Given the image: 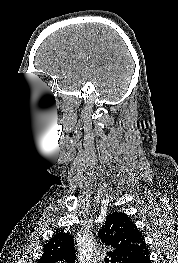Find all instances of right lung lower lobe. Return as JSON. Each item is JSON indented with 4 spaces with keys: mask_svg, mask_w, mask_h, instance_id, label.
<instances>
[{
    "mask_svg": "<svg viewBox=\"0 0 178 263\" xmlns=\"http://www.w3.org/2000/svg\"><path fill=\"white\" fill-rule=\"evenodd\" d=\"M134 263H151L149 251L145 252L140 258H138Z\"/></svg>",
    "mask_w": 178,
    "mask_h": 263,
    "instance_id": "obj_1",
    "label": "right lung lower lobe"
}]
</instances>
